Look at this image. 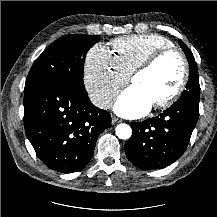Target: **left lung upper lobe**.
Segmentation results:
<instances>
[{
    "instance_id": "1",
    "label": "left lung upper lobe",
    "mask_w": 217,
    "mask_h": 217,
    "mask_svg": "<svg viewBox=\"0 0 217 217\" xmlns=\"http://www.w3.org/2000/svg\"><path fill=\"white\" fill-rule=\"evenodd\" d=\"M179 43L190 65L189 79L186 85V90L183 91L180 99L199 101L200 86L197 64L190 49L181 40L179 41Z\"/></svg>"
}]
</instances>
